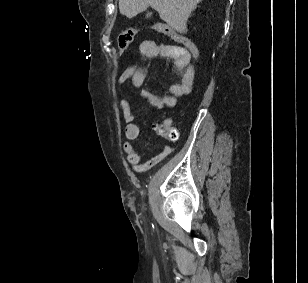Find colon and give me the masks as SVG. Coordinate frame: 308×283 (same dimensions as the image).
<instances>
[{"mask_svg":"<svg viewBox=\"0 0 308 283\" xmlns=\"http://www.w3.org/2000/svg\"><path fill=\"white\" fill-rule=\"evenodd\" d=\"M153 28L155 31L167 35L175 41L179 42L183 46V49H185L192 57H194L195 60H199L198 47L191 39L177 33L174 29L163 24H155ZM137 33V28H128L125 31L121 32L117 37L118 49L121 52H124L133 42ZM156 129L160 134L164 135L168 139L174 140L177 136L176 131L169 126L157 125Z\"/></svg>","mask_w":308,"mask_h":283,"instance_id":"1","label":"colon"}]
</instances>
